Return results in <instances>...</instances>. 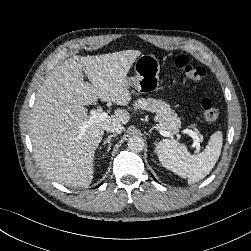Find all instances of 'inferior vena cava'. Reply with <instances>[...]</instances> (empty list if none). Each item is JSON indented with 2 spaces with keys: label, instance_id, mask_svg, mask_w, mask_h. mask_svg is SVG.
<instances>
[{
  "label": "inferior vena cava",
  "instance_id": "obj_1",
  "mask_svg": "<svg viewBox=\"0 0 251 251\" xmlns=\"http://www.w3.org/2000/svg\"><path fill=\"white\" fill-rule=\"evenodd\" d=\"M124 127L122 124H117V123H111V124H106L104 126V130L107 132H112V133H118L120 134L123 131Z\"/></svg>",
  "mask_w": 251,
  "mask_h": 251
}]
</instances>
